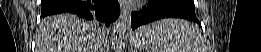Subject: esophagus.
Returning a JSON list of instances; mask_svg holds the SVG:
<instances>
[{"instance_id": "34e87169", "label": "esophagus", "mask_w": 261, "mask_h": 52, "mask_svg": "<svg viewBox=\"0 0 261 52\" xmlns=\"http://www.w3.org/2000/svg\"><path fill=\"white\" fill-rule=\"evenodd\" d=\"M129 16H130V11H129V9L123 7V8L121 9V19H122V20H128Z\"/></svg>"}]
</instances>
